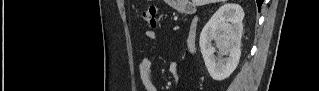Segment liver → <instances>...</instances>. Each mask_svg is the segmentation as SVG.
<instances>
[{"label": "liver", "mask_w": 319, "mask_h": 91, "mask_svg": "<svg viewBox=\"0 0 319 91\" xmlns=\"http://www.w3.org/2000/svg\"><path fill=\"white\" fill-rule=\"evenodd\" d=\"M219 1L225 2L226 0H192L193 4L197 6L219 2Z\"/></svg>", "instance_id": "liver-1"}]
</instances>
